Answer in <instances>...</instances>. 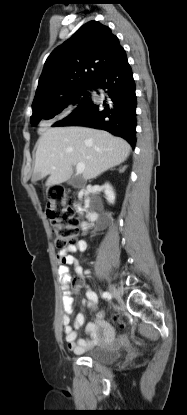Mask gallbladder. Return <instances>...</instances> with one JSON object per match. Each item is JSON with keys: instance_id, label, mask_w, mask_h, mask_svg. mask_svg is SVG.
Segmentation results:
<instances>
[{"instance_id": "obj_1", "label": "gallbladder", "mask_w": 187, "mask_h": 415, "mask_svg": "<svg viewBox=\"0 0 187 415\" xmlns=\"http://www.w3.org/2000/svg\"><path fill=\"white\" fill-rule=\"evenodd\" d=\"M67 183L73 187H82L84 185V180L81 177H72Z\"/></svg>"}]
</instances>
